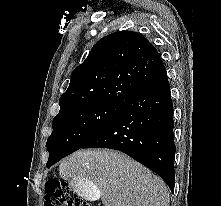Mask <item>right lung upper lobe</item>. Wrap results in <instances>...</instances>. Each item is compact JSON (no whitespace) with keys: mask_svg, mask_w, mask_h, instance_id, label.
Wrapping results in <instances>:
<instances>
[{"mask_svg":"<svg viewBox=\"0 0 221 206\" xmlns=\"http://www.w3.org/2000/svg\"><path fill=\"white\" fill-rule=\"evenodd\" d=\"M165 75L159 53L143 35L112 33L100 39L72 72L59 113L94 103L124 106Z\"/></svg>","mask_w":221,"mask_h":206,"instance_id":"obj_1","label":"right lung upper lobe"}]
</instances>
